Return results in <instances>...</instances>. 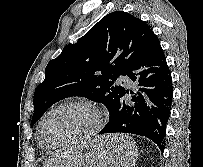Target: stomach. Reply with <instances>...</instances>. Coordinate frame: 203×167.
<instances>
[{
    "label": "stomach",
    "mask_w": 203,
    "mask_h": 167,
    "mask_svg": "<svg viewBox=\"0 0 203 167\" xmlns=\"http://www.w3.org/2000/svg\"><path fill=\"white\" fill-rule=\"evenodd\" d=\"M100 139L96 142L98 143ZM109 143L94 148L84 156L76 160L70 167H112L111 151L106 146Z\"/></svg>",
    "instance_id": "obj_1"
}]
</instances>
